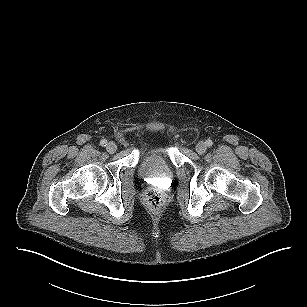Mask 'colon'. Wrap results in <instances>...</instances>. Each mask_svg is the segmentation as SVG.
<instances>
[{
  "mask_svg": "<svg viewBox=\"0 0 307 307\" xmlns=\"http://www.w3.org/2000/svg\"><path fill=\"white\" fill-rule=\"evenodd\" d=\"M146 205L151 210H158L164 204V195L158 188H149L144 194Z\"/></svg>",
  "mask_w": 307,
  "mask_h": 307,
  "instance_id": "1",
  "label": "colon"
}]
</instances>
